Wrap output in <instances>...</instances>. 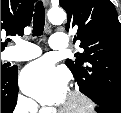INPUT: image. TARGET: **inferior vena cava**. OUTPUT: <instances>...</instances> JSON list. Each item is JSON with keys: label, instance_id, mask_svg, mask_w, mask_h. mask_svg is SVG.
<instances>
[{"label": "inferior vena cava", "instance_id": "1", "mask_svg": "<svg viewBox=\"0 0 121 113\" xmlns=\"http://www.w3.org/2000/svg\"><path fill=\"white\" fill-rule=\"evenodd\" d=\"M37 103L32 100H25L16 106L14 113H37Z\"/></svg>", "mask_w": 121, "mask_h": 113}]
</instances>
